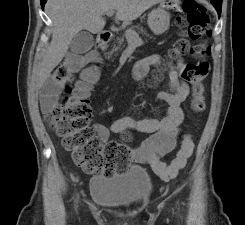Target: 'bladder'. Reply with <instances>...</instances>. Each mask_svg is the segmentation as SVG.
<instances>
[{"label":"bladder","instance_id":"obj_1","mask_svg":"<svg viewBox=\"0 0 245 225\" xmlns=\"http://www.w3.org/2000/svg\"><path fill=\"white\" fill-rule=\"evenodd\" d=\"M90 190L94 205L129 210L150 198L153 183L142 167L132 165L122 173L92 177Z\"/></svg>","mask_w":245,"mask_h":225}]
</instances>
